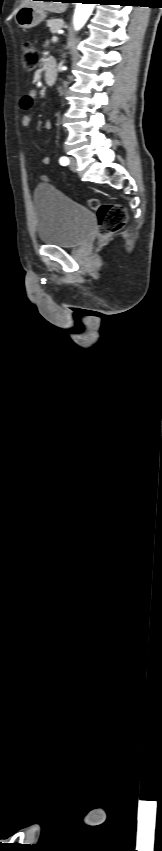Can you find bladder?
<instances>
[{
    "label": "bladder",
    "instance_id": "bladder-1",
    "mask_svg": "<svg viewBox=\"0 0 162 851\" xmlns=\"http://www.w3.org/2000/svg\"><path fill=\"white\" fill-rule=\"evenodd\" d=\"M37 236L41 243L62 248L83 244L95 226L94 213L51 184L36 186L33 194Z\"/></svg>",
    "mask_w": 162,
    "mask_h": 851
}]
</instances>
